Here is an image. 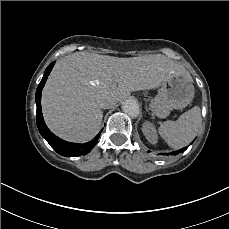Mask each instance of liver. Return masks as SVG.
I'll return each instance as SVG.
<instances>
[{
  "label": "liver",
  "mask_w": 229,
  "mask_h": 229,
  "mask_svg": "<svg viewBox=\"0 0 229 229\" xmlns=\"http://www.w3.org/2000/svg\"><path fill=\"white\" fill-rule=\"evenodd\" d=\"M190 73L164 55L132 58L76 52L58 60L42 93V112L58 137L84 143L101 129V103L111 107L132 91L153 89Z\"/></svg>",
  "instance_id": "1"
}]
</instances>
